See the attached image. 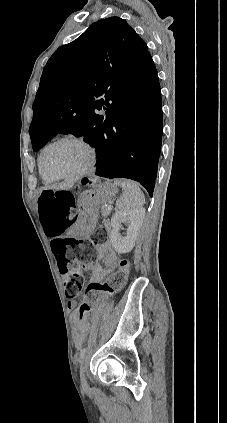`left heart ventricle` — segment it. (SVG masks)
<instances>
[{"label": "left heart ventricle", "instance_id": "obj_1", "mask_svg": "<svg viewBox=\"0 0 227 423\" xmlns=\"http://www.w3.org/2000/svg\"><path fill=\"white\" fill-rule=\"evenodd\" d=\"M46 161L56 173L75 174L88 164L89 152L77 142H65L51 150Z\"/></svg>", "mask_w": 227, "mask_h": 423}]
</instances>
